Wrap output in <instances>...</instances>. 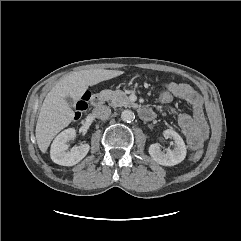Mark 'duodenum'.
I'll return each instance as SVG.
<instances>
[{"label": "duodenum", "instance_id": "obj_1", "mask_svg": "<svg viewBox=\"0 0 241 241\" xmlns=\"http://www.w3.org/2000/svg\"><path fill=\"white\" fill-rule=\"evenodd\" d=\"M104 103V96L101 94H94L91 97V104L98 108L101 107ZM140 116L144 119V120H151L154 118V112L149 109V108H143L140 111Z\"/></svg>", "mask_w": 241, "mask_h": 241}]
</instances>
